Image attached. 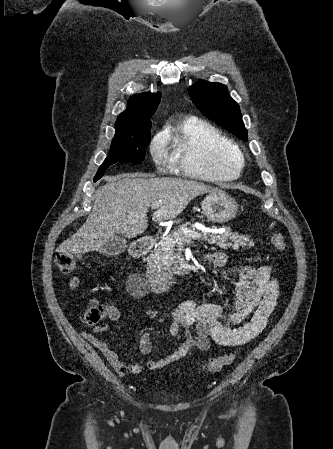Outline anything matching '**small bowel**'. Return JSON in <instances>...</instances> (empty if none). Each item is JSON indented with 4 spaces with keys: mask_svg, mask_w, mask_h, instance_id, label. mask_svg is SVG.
I'll return each instance as SVG.
<instances>
[{
    "mask_svg": "<svg viewBox=\"0 0 333 449\" xmlns=\"http://www.w3.org/2000/svg\"><path fill=\"white\" fill-rule=\"evenodd\" d=\"M215 266H223L226 258L216 252L207 255ZM240 282L235 299L227 312L219 304L184 301L171 314L170 335L178 336L184 331L179 348L160 360H147L143 365L150 370L162 368L170 363L188 356L193 349L207 351L211 342L222 346H240L251 342L266 327L273 311L280 300V289L272 268L244 266L238 271ZM70 288L80 294V280L73 276L69 280ZM97 301L90 299L88 306ZM109 318L118 321L121 313L111 308ZM132 320H136L134 316ZM105 328L98 326L94 332H84L83 337L98 348L116 372L121 376L136 374L141 371L142 364H127L119 359L117 353L110 348L100 335ZM139 350L148 355L152 351L151 336L143 333L139 340Z\"/></svg>",
    "mask_w": 333,
    "mask_h": 449,
    "instance_id": "1",
    "label": "small bowel"
}]
</instances>
